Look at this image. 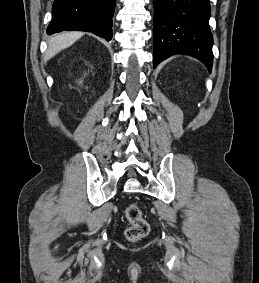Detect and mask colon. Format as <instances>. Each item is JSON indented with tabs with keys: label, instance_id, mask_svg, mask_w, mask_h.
<instances>
[{
	"label": "colon",
	"instance_id": "obj_1",
	"mask_svg": "<svg viewBox=\"0 0 259 283\" xmlns=\"http://www.w3.org/2000/svg\"><path fill=\"white\" fill-rule=\"evenodd\" d=\"M125 216L129 222V226L125 230V236L129 241H137L148 234L149 224L143 217L138 204H130L125 210Z\"/></svg>",
	"mask_w": 259,
	"mask_h": 283
}]
</instances>
